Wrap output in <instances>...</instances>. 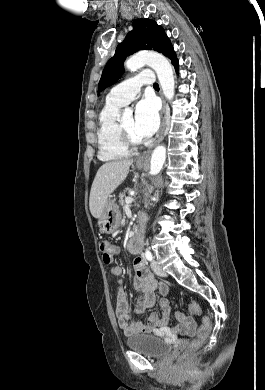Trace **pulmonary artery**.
Segmentation results:
<instances>
[{
  "mask_svg": "<svg viewBox=\"0 0 265 390\" xmlns=\"http://www.w3.org/2000/svg\"><path fill=\"white\" fill-rule=\"evenodd\" d=\"M153 82L154 75L152 71H143L115 86L108 94L107 102L120 106L127 105L139 94L141 86L151 85Z\"/></svg>",
  "mask_w": 265,
  "mask_h": 390,
  "instance_id": "obj_1",
  "label": "pulmonary artery"
}]
</instances>
